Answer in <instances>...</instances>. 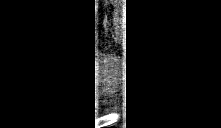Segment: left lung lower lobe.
Returning a JSON list of instances; mask_svg holds the SVG:
<instances>
[{"mask_svg": "<svg viewBox=\"0 0 221 128\" xmlns=\"http://www.w3.org/2000/svg\"><path fill=\"white\" fill-rule=\"evenodd\" d=\"M82 128H95V115L86 116L83 121L80 122ZM101 124H97L96 127H100ZM119 127H130L128 124H119Z\"/></svg>", "mask_w": 221, "mask_h": 128, "instance_id": "1", "label": "left lung lower lobe"}]
</instances>
